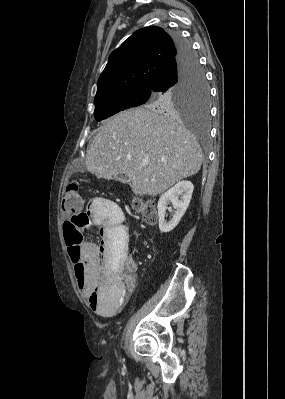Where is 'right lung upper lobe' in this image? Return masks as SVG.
<instances>
[{
	"label": "right lung upper lobe",
	"instance_id": "1",
	"mask_svg": "<svg viewBox=\"0 0 285 399\" xmlns=\"http://www.w3.org/2000/svg\"><path fill=\"white\" fill-rule=\"evenodd\" d=\"M176 56L175 42L162 28L152 26L134 32L110 54L94 99L131 89H151Z\"/></svg>",
	"mask_w": 285,
	"mask_h": 399
}]
</instances>
